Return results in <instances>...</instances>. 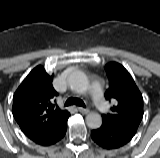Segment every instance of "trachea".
Wrapping results in <instances>:
<instances>
[{"instance_id":"3493384b","label":"trachea","mask_w":160,"mask_h":158,"mask_svg":"<svg viewBox=\"0 0 160 158\" xmlns=\"http://www.w3.org/2000/svg\"><path fill=\"white\" fill-rule=\"evenodd\" d=\"M73 104L77 106H82V107L85 106L84 103L80 99L74 98V97H70L65 103L66 106L73 105Z\"/></svg>"}]
</instances>
